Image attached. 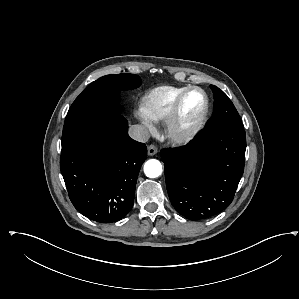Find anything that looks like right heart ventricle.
<instances>
[{
  "instance_id": "e07e8e85",
  "label": "right heart ventricle",
  "mask_w": 299,
  "mask_h": 299,
  "mask_svg": "<svg viewBox=\"0 0 299 299\" xmlns=\"http://www.w3.org/2000/svg\"><path fill=\"white\" fill-rule=\"evenodd\" d=\"M187 87L160 86L147 92L141 100V113L149 122L166 119L178 95Z\"/></svg>"
}]
</instances>
